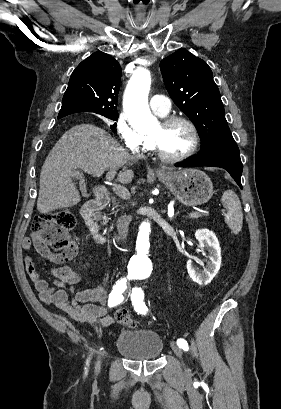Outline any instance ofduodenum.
<instances>
[{
  "instance_id": "duodenum-1",
  "label": "duodenum",
  "mask_w": 281,
  "mask_h": 409,
  "mask_svg": "<svg viewBox=\"0 0 281 409\" xmlns=\"http://www.w3.org/2000/svg\"><path fill=\"white\" fill-rule=\"evenodd\" d=\"M95 198L96 200L88 201L83 205L82 216L94 240L99 245L104 246L108 243V239L101 232L96 219V215L99 211L103 209L106 203H110L111 201L110 187L98 186L97 190L95 191ZM120 238L121 234H117L111 239V242L117 244L119 243Z\"/></svg>"
}]
</instances>
